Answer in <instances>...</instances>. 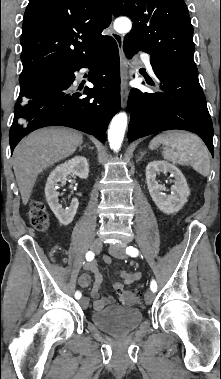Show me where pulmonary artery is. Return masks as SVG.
Here are the masks:
<instances>
[{
	"label": "pulmonary artery",
	"instance_id": "e3ab8cb5",
	"mask_svg": "<svg viewBox=\"0 0 221 379\" xmlns=\"http://www.w3.org/2000/svg\"><path fill=\"white\" fill-rule=\"evenodd\" d=\"M140 57H141L144 65L146 66L147 70L149 71V73L153 74V67L151 64L150 57L147 54H142Z\"/></svg>",
	"mask_w": 221,
	"mask_h": 379
}]
</instances>
